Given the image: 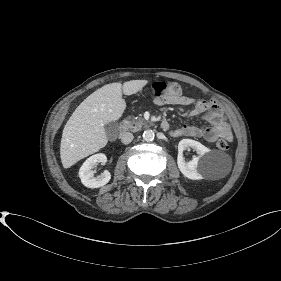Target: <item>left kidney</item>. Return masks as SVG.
Instances as JSON below:
<instances>
[{
    "label": "left kidney",
    "mask_w": 281,
    "mask_h": 281,
    "mask_svg": "<svg viewBox=\"0 0 281 281\" xmlns=\"http://www.w3.org/2000/svg\"><path fill=\"white\" fill-rule=\"evenodd\" d=\"M187 148L194 149L198 157H194L191 161H185L182 152ZM178 151L177 164L181 173L191 180L203 179L204 174L207 173V153L210 152V149L195 140L183 139L178 144Z\"/></svg>",
    "instance_id": "obj_1"
}]
</instances>
